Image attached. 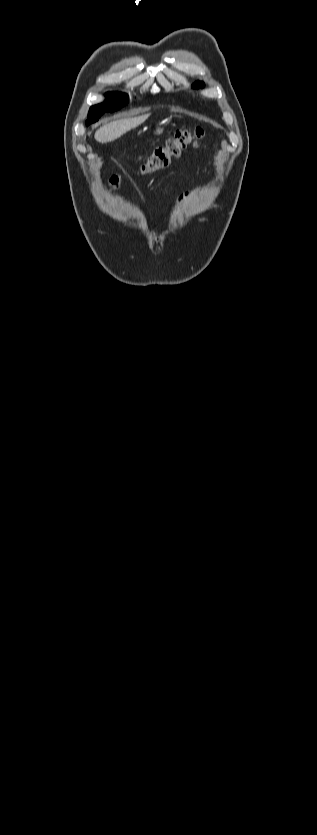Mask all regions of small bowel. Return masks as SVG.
<instances>
[{"mask_svg": "<svg viewBox=\"0 0 317 835\" xmlns=\"http://www.w3.org/2000/svg\"><path fill=\"white\" fill-rule=\"evenodd\" d=\"M189 196H190V194H189V193H186L183 197H181V198H180V200H179V204H181V203H182L185 199H187Z\"/></svg>", "mask_w": 317, "mask_h": 835, "instance_id": "c3829d8e", "label": "small bowel"}]
</instances>
